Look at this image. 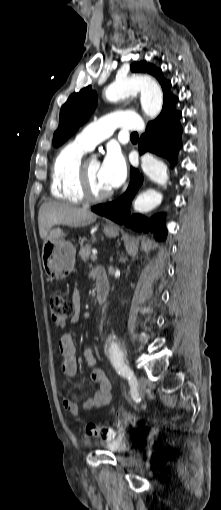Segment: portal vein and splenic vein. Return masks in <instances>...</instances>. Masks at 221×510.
I'll list each match as a JSON object with an SVG mask.
<instances>
[{"mask_svg": "<svg viewBox=\"0 0 221 510\" xmlns=\"http://www.w3.org/2000/svg\"><path fill=\"white\" fill-rule=\"evenodd\" d=\"M91 260H92V261H96V260H97V255H96V253H93V254L91 255Z\"/></svg>", "mask_w": 221, "mask_h": 510, "instance_id": "18ae733b", "label": "portal vein and splenic vein"}]
</instances>
